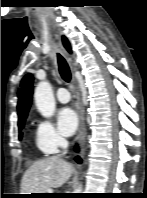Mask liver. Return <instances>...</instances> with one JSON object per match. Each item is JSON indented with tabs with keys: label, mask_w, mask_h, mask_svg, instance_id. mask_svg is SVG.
Returning <instances> with one entry per match:
<instances>
[{
	"label": "liver",
	"mask_w": 147,
	"mask_h": 198,
	"mask_svg": "<svg viewBox=\"0 0 147 198\" xmlns=\"http://www.w3.org/2000/svg\"><path fill=\"white\" fill-rule=\"evenodd\" d=\"M73 171V166L59 156L36 161L22 177L21 194L47 193L68 181Z\"/></svg>",
	"instance_id": "obj_1"
}]
</instances>
